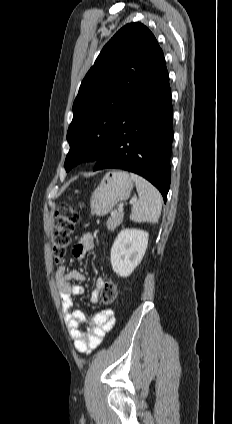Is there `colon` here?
I'll use <instances>...</instances> for the list:
<instances>
[{"instance_id": "1", "label": "colon", "mask_w": 232, "mask_h": 424, "mask_svg": "<svg viewBox=\"0 0 232 424\" xmlns=\"http://www.w3.org/2000/svg\"><path fill=\"white\" fill-rule=\"evenodd\" d=\"M77 208L71 203L59 206L52 228V257L55 263L64 260L72 234L78 222ZM118 296L117 285L112 280H106L99 291V298L104 304L114 303Z\"/></svg>"}]
</instances>
